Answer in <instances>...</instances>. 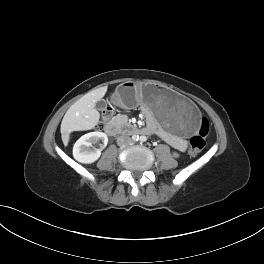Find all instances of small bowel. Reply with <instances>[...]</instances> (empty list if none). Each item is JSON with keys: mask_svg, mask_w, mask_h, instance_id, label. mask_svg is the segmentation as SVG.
<instances>
[{"mask_svg": "<svg viewBox=\"0 0 264 264\" xmlns=\"http://www.w3.org/2000/svg\"><path fill=\"white\" fill-rule=\"evenodd\" d=\"M148 132L151 134H158L160 135L163 139H165L171 146L178 150H184L186 147V144L183 139L172 135L168 132H165L161 130L158 126L155 124H150L148 127Z\"/></svg>", "mask_w": 264, "mask_h": 264, "instance_id": "c3829d8e", "label": "small bowel"}]
</instances>
